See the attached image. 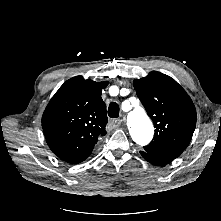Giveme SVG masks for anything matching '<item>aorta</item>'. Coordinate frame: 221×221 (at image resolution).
I'll return each mask as SVG.
<instances>
[{
  "label": "aorta",
  "mask_w": 221,
  "mask_h": 221,
  "mask_svg": "<svg viewBox=\"0 0 221 221\" xmlns=\"http://www.w3.org/2000/svg\"><path fill=\"white\" fill-rule=\"evenodd\" d=\"M127 121L132 139L138 145H147L154 133L152 122L147 115L143 111L136 109L129 114Z\"/></svg>",
  "instance_id": "762f6f07"
}]
</instances>
